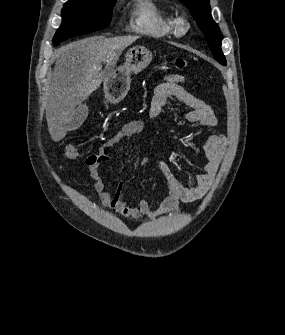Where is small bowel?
<instances>
[{"label":"small bowel","mask_w":285,"mask_h":335,"mask_svg":"<svg viewBox=\"0 0 285 335\" xmlns=\"http://www.w3.org/2000/svg\"><path fill=\"white\" fill-rule=\"evenodd\" d=\"M183 81L184 79L180 75H170L156 86L150 102L149 113L151 118L154 120L159 119L164 108L171 100L175 99L186 107L181 116L189 125L204 128L216 126L217 119L212 109L203 101L188 93L182 85ZM145 129L144 122L140 120L127 122L120 131L103 144L98 153L86 159L92 188L101 204L111 208L125 218H154L162 214L178 211L180 202L192 203L201 199L211 187L226 147V138L223 135L214 134L208 138L203 147V153L206 158L202 168L203 173L194 178L191 186L184 185L174 176L165 162L157 160V165L168 184V196L155 211L150 209L149 203L145 199H139L137 206L133 207L131 204L134 199L123 198V184L120 183L115 192H108L105 183L98 176V170L101 164L112 159L110 152L112 147L125 139L143 133ZM149 162L150 160L146 159L143 163L147 164Z\"/></svg>","instance_id":"small-bowel-1"}]
</instances>
